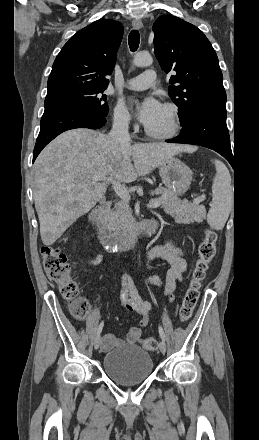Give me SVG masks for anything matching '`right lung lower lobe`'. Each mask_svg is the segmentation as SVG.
<instances>
[{
  "instance_id": "1",
  "label": "right lung lower lobe",
  "mask_w": 259,
  "mask_h": 440,
  "mask_svg": "<svg viewBox=\"0 0 259 440\" xmlns=\"http://www.w3.org/2000/svg\"><path fill=\"white\" fill-rule=\"evenodd\" d=\"M103 116L79 109H62L45 112L33 151V162L41 150L60 133L74 128L98 129L105 125Z\"/></svg>"
}]
</instances>
